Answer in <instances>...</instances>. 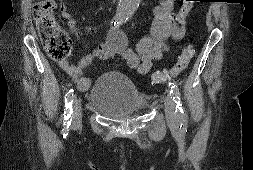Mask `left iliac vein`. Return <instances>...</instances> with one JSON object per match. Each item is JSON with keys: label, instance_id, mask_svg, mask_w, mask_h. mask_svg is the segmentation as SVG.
<instances>
[{"label": "left iliac vein", "instance_id": "4c4485c4", "mask_svg": "<svg viewBox=\"0 0 253 170\" xmlns=\"http://www.w3.org/2000/svg\"><path fill=\"white\" fill-rule=\"evenodd\" d=\"M164 106L167 124L170 127H176L178 124V119L174 111V101L170 94H167V96L165 97Z\"/></svg>", "mask_w": 253, "mask_h": 170}]
</instances>
